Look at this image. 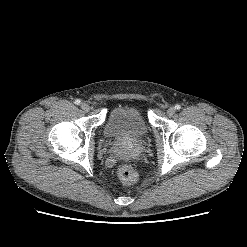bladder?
<instances>
[{"instance_id": "31cf9c89", "label": "bladder", "mask_w": 247, "mask_h": 247, "mask_svg": "<svg viewBox=\"0 0 247 247\" xmlns=\"http://www.w3.org/2000/svg\"><path fill=\"white\" fill-rule=\"evenodd\" d=\"M150 132L149 124L137 108L119 106L108 115L104 133L107 137L127 143H138Z\"/></svg>"}]
</instances>
